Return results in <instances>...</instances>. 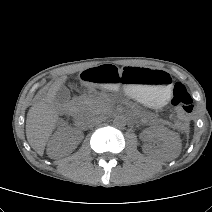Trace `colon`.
Wrapping results in <instances>:
<instances>
[{"mask_svg": "<svg viewBox=\"0 0 212 212\" xmlns=\"http://www.w3.org/2000/svg\"><path fill=\"white\" fill-rule=\"evenodd\" d=\"M172 104L181 118H186L193 111V99L182 83H176L173 87Z\"/></svg>", "mask_w": 212, "mask_h": 212, "instance_id": "obj_1", "label": "colon"}]
</instances>
